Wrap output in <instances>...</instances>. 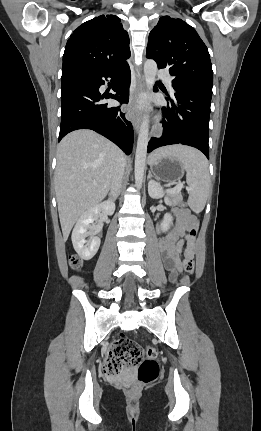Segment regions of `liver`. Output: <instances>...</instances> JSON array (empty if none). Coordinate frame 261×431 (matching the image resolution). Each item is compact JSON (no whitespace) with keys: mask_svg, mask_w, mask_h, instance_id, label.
Here are the masks:
<instances>
[{"mask_svg":"<svg viewBox=\"0 0 261 431\" xmlns=\"http://www.w3.org/2000/svg\"><path fill=\"white\" fill-rule=\"evenodd\" d=\"M120 159L125 161L122 151L92 130L73 131L61 140L55 192L64 241L80 216L106 197Z\"/></svg>","mask_w":261,"mask_h":431,"instance_id":"obj_1","label":"liver"}]
</instances>
